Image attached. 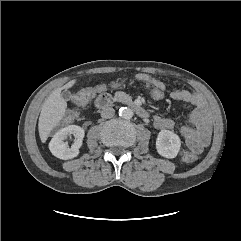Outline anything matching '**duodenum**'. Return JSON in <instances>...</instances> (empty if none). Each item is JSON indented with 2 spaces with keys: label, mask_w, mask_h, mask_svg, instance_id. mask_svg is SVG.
I'll use <instances>...</instances> for the list:
<instances>
[{
  "label": "duodenum",
  "mask_w": 241,
  "mask_h": 241,
  "mask_svg": "<svg viewBox=\"0 0 241 241\" xmlns=\"http://www.w3.org/2000/svg\"><path fill=\"white\" fill-rule=\"evenodd\" d=\"M114 103H122L127 105L142 118H146L148 116L146 110L141 105L121 94L102 93L95 99V106L98 109H105Z\"/></svg>",
  "instance_id": "duodenum-1"
}]
</instances>
